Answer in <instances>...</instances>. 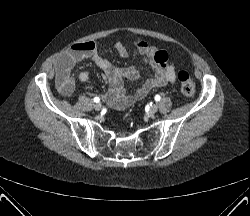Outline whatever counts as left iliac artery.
Segmentation results:
<instances>
[{
	"label": "left iliac artery",
	"instance_id": "44dca946",
	"mask_svg": "<svg viewBox=\"0 0 250 216\" xmlns=\"http://www.w3.org/2000/svg\"><path fill=\"white\" fill-rule=\"evenodd\" d=\"M154 99H155L156 101H159V100L161 99V97H160L159 95H156V96L154 97Z\"/></svg>",
	"mask_w": 250,
	"mask_h": 216
}]
</instances>
